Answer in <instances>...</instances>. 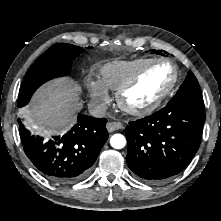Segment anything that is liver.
I'll return each instance as SVG.
<instances>
[{
  "instance_id": "liver-1",
  "label": "liver",
  "mask_w": 221,
  "mask_h": 221,
  "mask_svg": "<svg viewBox=\"0 0 221 221\" xmlns=\"http://www.w3.org/2000/svg\"><path fill=\"white\" fill-rule=\"evenodd\" d=\"M80 87L66 78L45 84L22 111L27 123L37 133L47 136L65 132L75 123L76 112L81 109Z\"/></svg>"
}]
</instances>
